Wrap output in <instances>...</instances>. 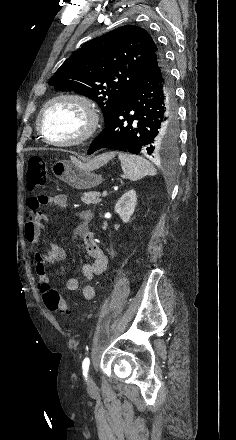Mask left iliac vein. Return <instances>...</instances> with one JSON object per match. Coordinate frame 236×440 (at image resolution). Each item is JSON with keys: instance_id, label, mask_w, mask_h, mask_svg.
<instances>
[{"instance_id": "left-iliac-vein-1", "label": "left iliac vein", "mask_w": 236, "mask_h": 440, "mask_svg": "<svg viewBox=\"0 0 236 440\" xmlns=\"http://www.w3.org/2000/svg\"><path fill=\"white\" fill-rule=\"evenodd\" d=\"M87 385H88V389H89V390H92V389L95 388V382H94V380H93L91 374L88 375V378H87Z\"/></svg>"}]
</instances>
